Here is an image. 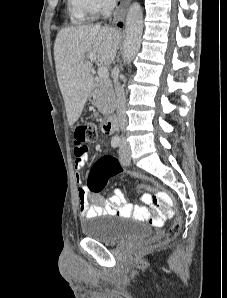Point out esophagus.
Returning a JSON list of instances; mask_svg holds the SVG:
<instances>
[{
    "mask_svg": "<svg viewBox=\"0 0 227 298\" xmlns=\"http://www.w3.org/2000/svg\"><path fill=\"white\" fill-rule=\"evenodd\" d=\"M116 19L120 20V19H121V17H120V16H119V17H116Z\"/></svg>",
    "mask_w": 227,
    "mask_h": 298,
    "instance_id": "obj_1",
    "label": "esophagus"
}]
</instances>
